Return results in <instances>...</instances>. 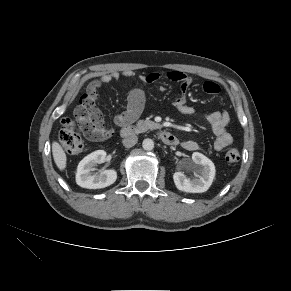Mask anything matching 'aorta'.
I'll list each match as a JSON object with an SVG mask.
<instances>
[{
  "label": "aorta",
  "instance_id": "1",
  "mask_svg": "<svg viewBox=\"0 0 291 291\" xmlns=\"http://www.w3.org/2000/svg\"><path fill=\"white\" fill-rule=\"evenodd\" d=\"M142 147L144 150L150 151L154 148V142L152 139H144L142 143Z\"/></svg>",
  "mask_w": 291,
  "mask_h": 291
}]
</instances>
